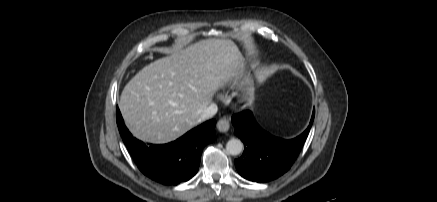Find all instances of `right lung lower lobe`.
Returning a JSON list of instances; mask_svg holds the SVG:
<instances>
[{
	"mask_svg": "<svg viewBox=\"0 0 437 202\" xmlns=\"http://www.w3.org/2000/svg\"><path fill=\"white\" fill-rule=\"evenodd\" d=\"M116 121L121 137L139 170L165 185H177L191 179L198 172L202 149L215 139L216 120H209L176 141L164 145H146L134 138L124 125L118 108Z\"/></svg>",
	"mask_w": 437,
	"mask_h": 202,
	"instance_id": "1",
	"label": "right lung lower lobe"
}]
</instances>
